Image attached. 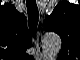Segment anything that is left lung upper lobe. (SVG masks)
Here are the masks:
<instances>
[{"mask_svg": "<svg viewBox=\"0 0 80 60\" xmlns=\"http://www.w3.org/2000/svg\"><path fill=\"white\" fill-rule=\"evenodd\" d=\"M69 2L62 1L54 9L53 13L45 18L44 28L46 31H54L62 38V53L73 49L72 42V14L73 9Z\"/></svg>", "mask_w": 80, "mask_h": 60, "instance_id": "obj_1", "label": "left lung upper lobe"}]
</instances>
